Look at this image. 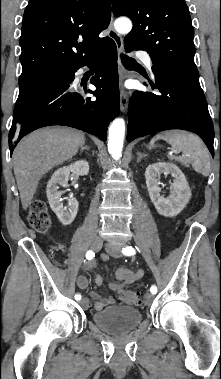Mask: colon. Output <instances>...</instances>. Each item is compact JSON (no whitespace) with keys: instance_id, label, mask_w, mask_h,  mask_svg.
Segmentation results:
<instances>
[{"instance_id":"obj_1","label":"colon","mask_w":221,"mask_h":379,"mask_svg":"<svg viewBox=\"0 0 221 379\" xmlns=\"http://www.w3.org/2000/svg\"><path fill=\"white\" fill-rule=\"evenodd\" d=\"M28 221L31 227L39 233H46L50 229L51 221L45 202L36 200L32 203ZM119 297L127 304L141 303V295L138 292L124 290L119 293Z\"/></svg>"}]
</instances>
